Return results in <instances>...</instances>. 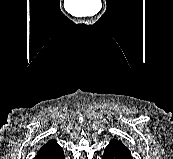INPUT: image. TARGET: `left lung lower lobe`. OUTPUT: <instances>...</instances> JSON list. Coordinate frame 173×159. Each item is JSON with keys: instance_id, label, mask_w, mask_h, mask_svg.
Instances as JSON below:
<instances>
[{"instance_id": "left-lung-lower-lobe-1", "label": "left lung lower lobe", "mask_w": 173, "mask_h": 159, "mask_svg": "<svg viewBox=\"0 0 173 159\" xmlns=\"http://www.w3.org/2000/svg\"><path fill=\"white\" fill-rule=\"evenodd\" d=\"M102 159H133L127 147L110 142L105 148Z\"/></svg>"}]
</instances>
